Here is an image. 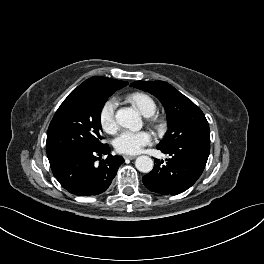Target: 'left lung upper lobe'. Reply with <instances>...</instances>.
I'll return each mask as SVG.
<instances>
[{"label":"left lung upper lobe","mask_w":264,"mask_h":264,"mask_svg":"<svg viewBox=\"0 0 264 264\" xmlns=\"http://www.w3.org/2000/svg\"><path fill=\"white\" fill-rule=\"evenodd\" d=\"M130 86L155 95L165 108L169 131L157 147L169 148L184 141L210 142V130L205 115L172 85L164 81H136Z\"/></svg>","instance_id":"left-lung-upper-lobe-1"}]
</instances>
